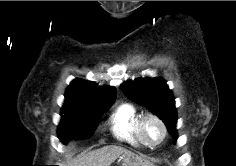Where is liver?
<instances>
[{
  "instance_id": "obj_1",
  "label": "liver",
  "mask_w": 236,
  "mask_h": 166,
  "mask_svg": "<svg viewBox=\"0 0 236 166\" xmlns=\"http://www.w3.org/2000/svg\"><path fill=\"white\" fill-rule=\"evenodd\" d=\"M121 155L122 158L124 156H132L133 161L130 162L132 166H153L149 161L120 146H105L91 151L74 159L66 166H110Z\"/></svg>"
}]
</instances>
